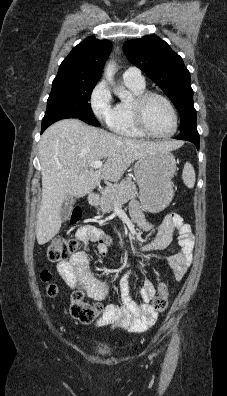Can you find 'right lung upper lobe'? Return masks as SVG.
<instances>
[{"label":"right lung upper lobe","instance_id":"obj_1","mask_svg":"<svg viewBox=\"0 0 227 396\" xmlns=\"http://www.w3.org/2000/svg\"><path fill=\"white\" fill-rule=\"evenodd\" d=\"M111 50L112 44L108 40L88 37L63 60L57 76L98 81Z\"/></svg>","mask_w":227,"mask_h":396}]
</instances>
